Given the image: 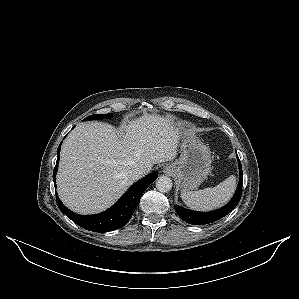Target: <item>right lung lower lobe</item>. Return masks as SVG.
I'll use <instances>...</instances> for the list:
<instances>
[{
	"label": "right lung lower lobe",
	"mask_w": 299,
	"mask_h": 299,
	"mask_svg": "<svg viewBox=\"0 0 299 299\" xmlns=\"http://www.w3.org/2000/svg\"><path fill=\"white\" fill-rule=\"evenodd\" d=\"M60 146L57 149V161L53 172V180L55 184V176L59 163ZM157 173H151L133 184L125 194L108 210L95 215H79L66 208L56 195L57 205L60 210L73 222L79 226L93 232H108L119 229L126 225L131 219L136 207L140 202V198L146 188L157 178Z\"/></svg>",
	"instance_id": "98d812e1"
}]
</instances>
